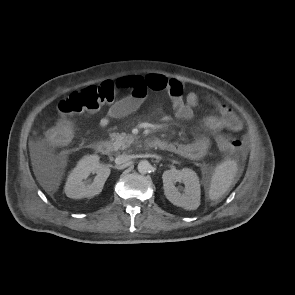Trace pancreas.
Returning <instances> with one entry per match:
<instances>
[{
    "label": "pancreas",
    "instance_id": "cf45deb5",
    "mask_svg": "<svg viewBox=\"0 0 295 295\" xmlns=\"http://www.w3.org/2000/svg\"><path fill=\"white\" fill-rule=\"evenodd\" d=\"M110 138L113 142V149L115 151L125 150L134 142V137L126 133H111Z\"/></svg>",
    "mask_w": 295,
    "mask_h": 295
}]
</instances>
